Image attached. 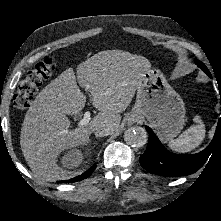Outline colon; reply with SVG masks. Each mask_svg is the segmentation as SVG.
<instances>
[{
  "mask_svg": "<svg viewBox=\"0 0 221 221\" xmlns=\"http://www.w3.org/2000/svg\"><path fill=\"white\" fill-rule=\"evenodd\" d=\"M57 69V61L50 57L39 62L30 70L25 78L19 83L16 94L14 95V106L16 109H27L36 95L39 86L48 80Z\"/></svg>",
  "mask_w": 221,
  "mask_h": 221,
  "instance_id": "5ec220e1",
  "label": "colon"
}]
</instances>
